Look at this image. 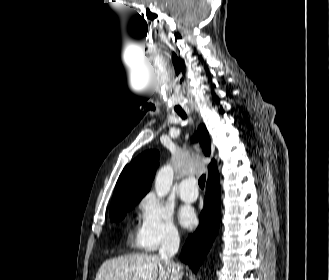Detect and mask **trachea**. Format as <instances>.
<instances>
[{
  "label": "trachea",
  "mask_w": 329,
  "mask_h": 280,
  "mask_svg": "<svg viewBox=\"0 0 329 280\" xmlns=\"http://www.w3.org/2000/svg\"><path fill=\"white\" fill-rule=\"evenodd\" d=\"M179 116L182 118V119H186L187 118V115L184 114V113H179ZM205 181H206V176L203 174L200 178H199V181H198V184L200 186L201 189L204 188L205 186Z\"/></svg>",
  "instance_id": "trachea-1"
}]
</instances>
